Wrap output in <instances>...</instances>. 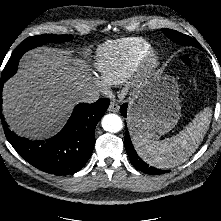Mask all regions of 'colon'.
Wrapping results in <instances>:
<instances>
[{"label":"colon","instance_id":"obj_1","mask_svg":"<svg viewBox=\"0 0 221 221\" xmlns=\"http://www.w3.org/2000/svg\"><path fill=\"white\" fill-rule=\"evenodd\" d=\"M182 62L185 66H190L192 64V60L188 55L182 57Z\"/></svg>","mask_w":221,"mask_h":221}]
</instances>
